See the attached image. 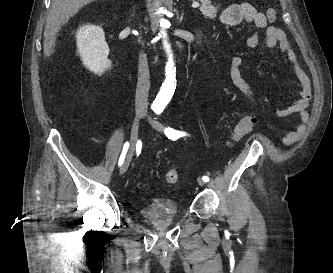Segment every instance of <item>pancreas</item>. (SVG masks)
<instances>
[{"instance_id":"1","label":"pancreas","mask_w":333,"mask_h":273,"mask_svg":"<svg viewBox=\"0 0 333 273\" xmlns=\"http://www.w3.org/2000/svg\"><path fill=\"white\" fill-rule=\"evenodd\" d=\"M201 7L200 11L205 18L214 19L216 17L217 8L211 5L209 0H200Z\"/></svg>"}]
</instances>
